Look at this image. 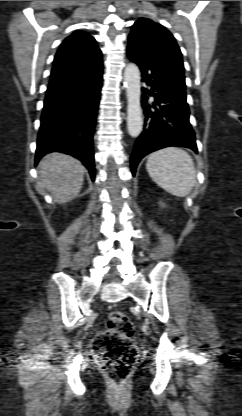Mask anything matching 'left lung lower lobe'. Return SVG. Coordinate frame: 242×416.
<instances>
[{"mask_svg": "<svg viewBox=\"0 0 242 416\" xmlns=\"http://www.w3.org/2000/svg\"><path fill=\"white\" fill-rule=\"evenodd\" d=\"M128 58L142 73V107L144 129L134 145L131 171L135 175L141 159L147 154L169 146H182L197 152L195 133L189 122L185 88L172 79L168 70L150 54L132 44L127 47Z\"/></svg>", "mask_w": 242, "mask_h": 416, "instance_id": "left-lung-lower-lobe-1", "label": "left lung lower lobe"}]
</instances>
